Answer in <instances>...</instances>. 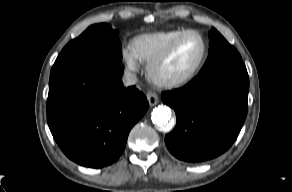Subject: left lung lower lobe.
Listing matches in <instances>:
<instances>
[{"mask_svg": "<svg viewBox=\"0 0 292 192\" xmlns=\"http://www.w3.org/2000/svg\"><path fill=\"white\" fill-rule=\"evenodd\" d=\"M249 78L246 67L200 73L180 89L162 93L175 110L177 124L165 143L187 162L215 158L236 140L246 118Z\"/></svg>", "mask_w": 292, "mask_h": 192, "instance_id": "1", "label": "left lung lower lobe"}]
</instances>
